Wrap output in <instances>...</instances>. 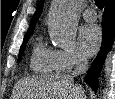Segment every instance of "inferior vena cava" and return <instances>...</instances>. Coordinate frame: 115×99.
<instances>
[{
    "mask_svg": "<svg viewBox=\"0 0 115 99\" xmlns=\"http://www.w3.org/2000/svg\"><path fill=\"white\" fill-rule=\"evenodd\" d=\"M88 69V59L85 56H79L76 60V67L72 72V77L84 74Z\"/></svg>",
    "mask_w": 115,
    "mask_h": 99,
    "instance_id": "1",
    "label": "inferior vena cava"
}]
</instances>
